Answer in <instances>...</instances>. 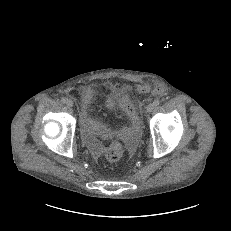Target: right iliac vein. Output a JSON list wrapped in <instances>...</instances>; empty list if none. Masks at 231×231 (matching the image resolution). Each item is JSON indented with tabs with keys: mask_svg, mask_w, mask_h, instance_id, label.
I'll return each mask as SVG.
<instances>
[{
	"mask_svg": "<svg viewBox=\"0 0 231 231\" xmlns=\"http://www.w3.org/2000/svg\"><path fill=\"white\" fill-rule=\"evenodd\" d=\"M66 104L69 107H73V105H74V103H73V101L71 99H67Z\"/></svg>",
	"mask_w": 231,
	"mask_h": 231,
	"instance_id": "63e3f726",
	"label": "right iliac vein"
}]
</instances>
